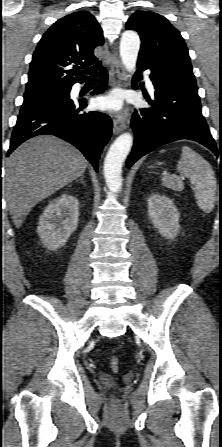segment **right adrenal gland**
I'll list each match as a JSON object with an SVG mask.
<instances>
[{"label": "right adrenal gland", "mask_w": 222, "mask_h": 447, "mask_svg": "<svg viewBox=\"0 0 222 447\" xmlns=\"http://www.w3.org/2000/svg\"><path fill=\"white\" fill-rule=\"evenodd\" d=\"M77 181H80L81 183L85 184V182H84V176L82 175Z\"/></svg>", "instance_id": "obj_1"}]
</instances>
